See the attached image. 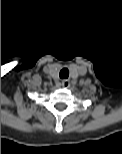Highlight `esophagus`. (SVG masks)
Segmentation results:
<instances>
[{
    "instance_id": "34e87169",
    "label": "esophagus",
    "mask_w": 122,
    "mask_h": 154,
    "mask_svg": "<svg viewBox=\"0 0 122 154\" xmlns=\"http://www.w3.org/2000/svg\"><path fill=\"white\" fill-rule=\"evenodd\" d=\"M61 85H62L64 88H68V87L70 86V81L67 80V79H64V80H62Z\"/></svg>"
}]
</instances>
